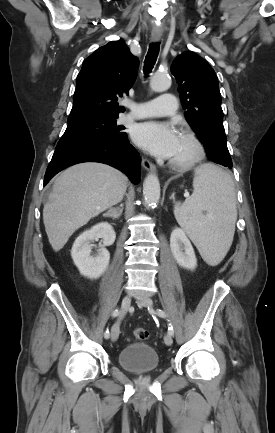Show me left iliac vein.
<instances>
[{"label": "left iliac vein", "mask_w": 275, "mask_h": 433, "mask_svg": "<svg viewBox=\"0 0 275 433\" xmlns=\"http://www.w3.org/2000/svg\"><path fill=\"white\" fill-rule=\"evenodd\" d=\"M138 304L144 307H151L153 301L148 297H143L138 300ZM164 342L167 346H171L173 343L172 335L167 333L164 337Z\"/></svg>", "instance_id": "obj_1"}]
</instances>
